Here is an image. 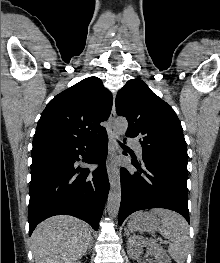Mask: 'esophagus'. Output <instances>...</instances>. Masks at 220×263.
I'll return each mask as SVG.
<instances>
[{"instance_id": "esophagus-1", "label": "esophagus", "mask_w": 220, "mask_h": 263, "mask_svg": "<svg viewBox=\"0 0 220 263\" xmlns=\"http://www.w3.org/2000/svg\"><path fill=\"white\" fill-rule=\"evenodd\" d=\"M116 118V107H115V99L113 101L111 114L109 117V128H108V138H109V156L107 162V174L110 181V184H113L116 177V168L113 165V157L116 153L117 145L115 141V129H114V121Z\"/></svg>"}]
</instances>
